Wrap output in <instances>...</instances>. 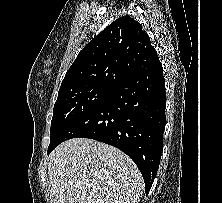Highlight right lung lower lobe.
Listing matches in <instances>:
<instances>
[{"mask_svg": "<svg viewBox=\"0 0 222 203\" xmlns=\"http://www.w3.org/2000/svg\"><path fill=\"white\" fill-rule=\"evenodd\" d=\"M165 104L163 69L157 59L124 77L102 103L66 128L47 153L78 137L112 145L138 166L148 194L163 149Z\"/></svg>", "mask_w": 222, "mask_h": 203, "instance_id": "1", "label": "right lung lower lobe"}]
</instances>
